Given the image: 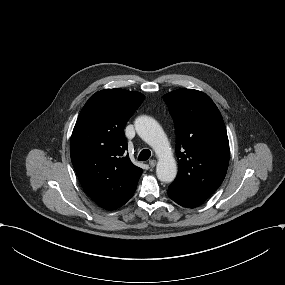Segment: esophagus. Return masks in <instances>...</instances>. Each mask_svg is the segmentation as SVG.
Here are the masks:
<instances>
[{
    "mask_svg": "<svg viewBox=\"0 0 285 285\" xmlns=\"http://www.w3.org/2000/svg\"><path fill=\"white\" fill-rule=\"evenodd\" d=\"M148 164L151 168H154L157 164V161L155 159H151Z\"/></svg>",
    "mask_w": 285,
    "mask_h": 285,
    "instance_id": "obj_1",
    "label": "esophagus"
}]
</instances>
